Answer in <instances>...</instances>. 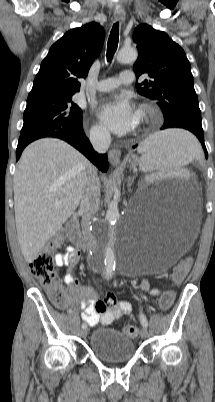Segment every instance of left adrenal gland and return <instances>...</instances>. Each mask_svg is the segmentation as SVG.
<instances>
[{"label":"left adrenal gland","mask_w":215,"mask_h":402,"mask_svg":"<svg viewBox=\"0 0 215 402\" xmlns=\"http://www.w3.org/2000/svg\"><path fill=\"white\" fill-rule=\"evenodd\" d=\"M133 181H134V177H128V180H127V186H128V191L130 192L131 191V186H132V184H133Z\"/></svg>","instance_id":"a2214340"}]
</instances>
